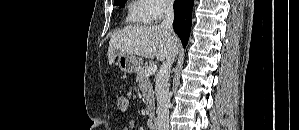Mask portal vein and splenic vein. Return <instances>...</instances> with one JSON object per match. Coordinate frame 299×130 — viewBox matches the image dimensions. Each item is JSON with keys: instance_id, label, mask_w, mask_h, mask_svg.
<instances>
[{"instance_id": "18ae733b", "label": "portal vein and splenic vein", "mask_w": 299, "mask_h": 130, "mask_svg": "<svg viewBox=\"0 0 299 130\" xmlns=\"http://www.w3.org/2000/svg\"><path fill=\"white\" fill-rule=\"evenodd\" d=\"M157 70V66L156 65H151L147 68L146 72H145V75L146 76H151L152 74H154Z\"/></svg>"}]
</instances>
